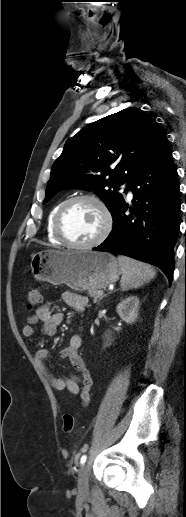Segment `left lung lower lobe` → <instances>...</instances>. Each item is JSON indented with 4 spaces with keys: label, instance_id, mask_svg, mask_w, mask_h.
Returning a JSON list of instances; mask_svg holds the SVG:
<instances>
[{
    "label": "left lung lower lobe",
    "instance_id": "left-lung-lower-lobe-1",
    "mask_svg": "<svg viewBox=\"0 0 186 517\" xmlns=\"http://www.w3.org/2000/svg\"><path fill=\"white\" fill-rule=\"evenodd\" d=\"M134 195L129 215L124 203L113 215V229L97 251L115 252L159 267L171 284L174 246L180 227L177 169L167 139L127 184Z\"/></svg>",
    "mask_w": 186,
    "mask_h": 517
}]
</instances>
